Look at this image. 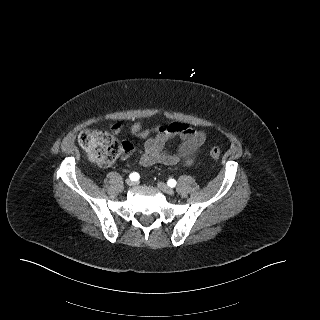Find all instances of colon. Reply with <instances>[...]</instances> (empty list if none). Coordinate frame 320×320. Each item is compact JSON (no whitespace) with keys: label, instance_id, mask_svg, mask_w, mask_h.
Instances as JSON below:
<instances>
[{"label":"colon","instance_id":"1","mask_svg":"<svg viewBox=\"0 0 320 320\" xmlns=\"http://www.w3.org/2000/svg\"><path fill=\"white\" fill-rule=\"evenodd\" d=\"M78 140L91 159L102 167L114 162L121 153L120 143L112 134L105 131L84 130L79 134ZM209 154L214 160H218L221 151L213 146Z\"/></svg>","mask_w":320,"mask_h":320}]
</instances>
